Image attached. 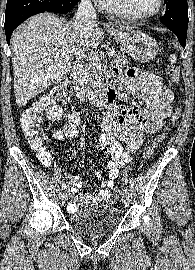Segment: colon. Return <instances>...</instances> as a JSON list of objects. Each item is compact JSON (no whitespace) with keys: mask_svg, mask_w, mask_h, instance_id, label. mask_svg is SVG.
Here are the masks:
<instances>
[{"mask_svg":"<svg viewBox=\"0 0 195 270\" xmlns=\"http://www.w3.org/2000/svg\"><path fill=\"white\" fill-rule=\"evenodd\" d=\"M166 73L172 83H178L180 80V71L176 66H167ZM73 86L66 84L55 88L43 101L39 104L27 109L21 117V128L28 139L30 145L40 151V158L43 162L48 163L50 161V154L42 148L43 135L40 129L41 116L40 113L47 107L58 103H66L69 98V93ZM181 110L177 108L171 115L167 129L159 134L152 142V144L146 149L144 153V161L151 158L154 151L160 146L165 139L168 130L173 127L179 120ZM122 192L120 187L114 189V196L119 197Z\"/></svg>","mask_w":195,"mask_h":270,"instance_id":"1","label":"colon"}]
</instances>
